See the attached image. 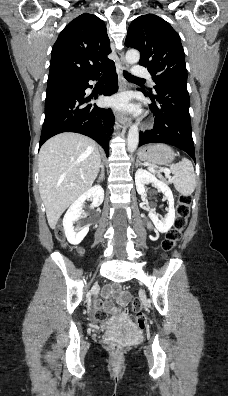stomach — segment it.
Here are the masks:
<instances>
[{
    "label": "stomach",
    "mask_w": 228,
    "mask_h": 396,
    "mask_svg": "<svg viewBox=\"0 0 228 396\" xmlns=\"http://www.w3.org/2000/svg\"><path fill=\"white\" fill-rule=\"evenodd\" d=\"M175 156L172 148L162 143L144 146L139 151L141 160L155 165H168L174 160Z\"/></svg>",
    "instance_id": "obj_1"
}]
</instances>
